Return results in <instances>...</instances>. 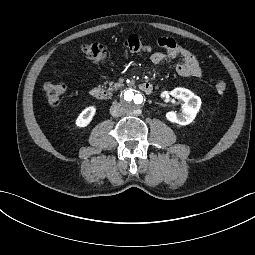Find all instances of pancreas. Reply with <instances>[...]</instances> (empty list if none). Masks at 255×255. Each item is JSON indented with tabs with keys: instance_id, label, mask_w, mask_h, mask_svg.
Masks as SVG:
<instances>
[{
	"instance_id": "obj_1",
	"label": "pancreas",
	"mask_w": 255,
	"mask_h": 255,
	"mask_svg": "<svg viewBox=\"0 0 255 255\" xmlns=\"http://www.w3.org/2000/svg\"><path fill=\"white\" fill-rule=\"evenodd\" d=\"M109 86L110 87L108 88V91H113V90H116V89H118L120 87H123L124 84H121V83H115V84L110 83Z\"/></svg>"
}]
</instances>
